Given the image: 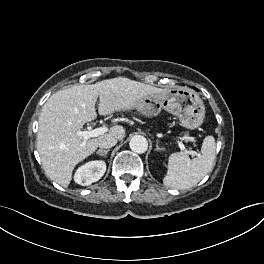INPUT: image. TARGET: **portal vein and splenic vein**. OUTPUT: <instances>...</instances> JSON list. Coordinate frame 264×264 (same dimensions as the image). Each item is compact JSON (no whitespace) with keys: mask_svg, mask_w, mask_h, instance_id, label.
<instances>
[{"mask_svg":"<svg viewBox=\"0 0 264 264\" xmlns=\"http://www.w3.org/2000/svg\"><path fill=\"white\" fill-rule=\"evenodd\" d=\"M107 131H108L107 127H99L91 131H78L76 132V135L83 140V142L81 143V147H83L88 139L98 137ZM177 143L179 148L187 155L188 158L189 155L191 156L196 155L194 151L188 150L181 141H177Z\"/></svg>","mask_w":264,"mask_h":264,"instance_id":"portal-vein-and-splenic-vein-1","label":"portal vein and splenic vein"}]
</instances>
